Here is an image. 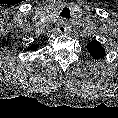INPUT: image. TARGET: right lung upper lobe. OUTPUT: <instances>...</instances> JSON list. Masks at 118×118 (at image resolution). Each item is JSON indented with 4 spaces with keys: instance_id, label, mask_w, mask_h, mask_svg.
Instances as JSON below:
<instances>
[{
    "instance_id": "right-lung-upper-lobe-1",
    "label": "right lung upper lobe",
    "mask_w": 118,
    "mask_h": 118,
    "mask_svg": "<svg viewBox=\"0 0 118 118\" xmlns=\"http://www.w3.org/2000/svg\"><path fill=\"white\" fill-rule=\"evenodd\" d=\"M37 47H38V45L32 44V45L29 47V49H30V50H36Z\"/></svg>"
}]
</instances>
